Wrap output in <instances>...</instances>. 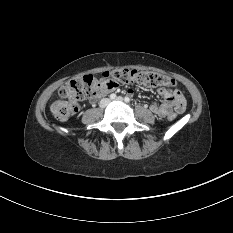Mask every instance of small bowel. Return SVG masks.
I'll return each instance as SVG.
<instances>
[{
  "label": "small bowel",
  "instance_id": "obj_1",
  "mask_svg": "<svg viewBox=\"0 0 233 233\" xmlns=\"http://www.w3.org/2000/svg\"><path fill=\"white\" fill-rule=\"evenodd\" d=\"M118 84L111 81H103L102 87L99 92L94 95L92 98L96 99L103 94L110 93L116 90ZM129 94H132V91H128ZM159 93L164 97V102L159 104L153 102L150 105V110L159 117H170L174 113H183L186 108V102L183 95L174 88L164 87L159 89Z\"/></svg>",
  "mask_w": 233,
  "mask_h": 233
}]
</instances>
